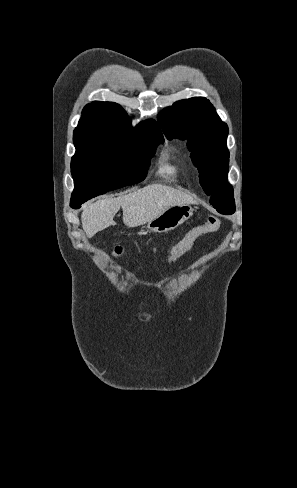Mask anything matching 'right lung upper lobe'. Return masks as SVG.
I'll return each instance as SVG.
<instances>
[{
	"label": "right lung upper lobe",
	"instance_id": "1",
	"mask_svg": "<svg viewBox=\"0 0 297 488\" xmlns=\"http://www.w3.org/2000/svg\"><path fill=\"white\" fill-rule=\"evenodd\" d=\"M150 131L163 138L154 120L132 127L125 110L116 103L94 101L84 107L82 117L74 130L75 146L98 143L116 137H131L139 131Z\"/></svg>",
	"mask_w": 297,
	"mask_h": 488
}]
</instances>
